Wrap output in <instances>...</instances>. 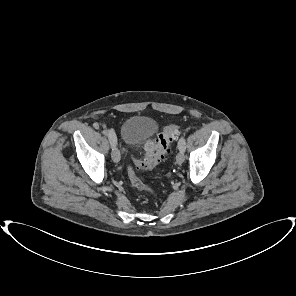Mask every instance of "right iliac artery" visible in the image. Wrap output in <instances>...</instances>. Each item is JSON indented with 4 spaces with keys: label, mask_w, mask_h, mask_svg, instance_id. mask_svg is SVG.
<instances>
[{
    "label": "right iliac artery",
    "mask_w": 296,
    "mask_h": 296,
    "mask_svg": "<svg viewBox=\"0 0 296 296\" xmlns=\"http://www.w3.org/2000/svg\"><path fill=\"white\" fill-rule=\"evenodd\" d=\"M104 134L109 137L111 146L114 147L117 143V138H116L115 132L112 129H109V130H105Z\"/></svg>",
    "instance_id": "1"
}]
</instances>
